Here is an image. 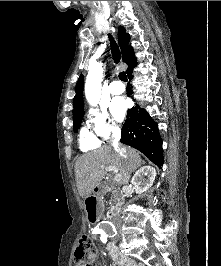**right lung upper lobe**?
<instances>
[{
	"instance_id": "1",
	"label": "right lung upper lobe",
	"mask_w": 221,
	"mask_h": 266,
	"mask_svg": "<svg viewBox=\"0 0 221 266\" xmlns=\"http://www.w3.org/2000/svg\"><path fill=\"white\" fill-rule=\"evenodd\" d=\"M118 40L119 45L122 52V60L128 65V68L126 70V73L128 74L137 64V60L134 57L133 48L128 45V42L130 40L129 34L126 33V30L120 26L118 30ZM83 85H84V77L83 75H80L77 84H76V95L74 97V110H73V116L79 115L84 113V103H83Z\"/></svg>"
}]
</instances>
